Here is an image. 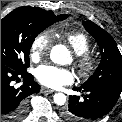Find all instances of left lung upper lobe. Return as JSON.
<instances>
[{"instance_id": "1", "label": "left lung upper lobe", "mask_w": 122, "mask_h": 122, "mask_svg": "<svg viewBox=\"0 0 122 122\" xmlns=\"http://www.w3.org/2000/svg\"><path fill=\"white\" fill-rule=\"evenodd\" d=\"M85 29L95 38L101 52V61L94 74L81 87H122V56L111 35L92 21L83 22Z\"/></svg>"}]
</instances>
